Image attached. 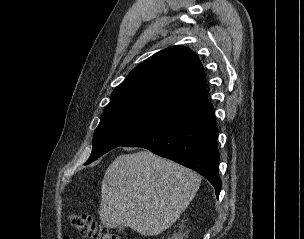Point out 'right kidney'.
<instances>
[{
  "label": "right kidney",
  "instance_id": "right-kidney-1",
  "mask_svg": "<svg viewBox=\"0 0 304 239\" xmlns=\"http://www.w3.org/2000/svg\"><path fill=\"white\" fill-rule=\"evenodd\" d=\"M168 239H182L180 234H174L172 238H168Z\"/></svg>",
  "mask_w": 304,
  "mask_h": 239
}]
</instances>
